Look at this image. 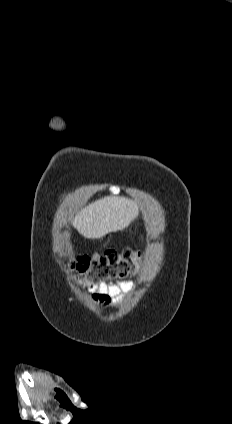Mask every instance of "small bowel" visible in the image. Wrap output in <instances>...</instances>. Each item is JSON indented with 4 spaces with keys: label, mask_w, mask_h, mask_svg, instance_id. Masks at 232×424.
Returning <instances> with one entry per match:
<instances>
[{
    "label": "small bowel",
    "mask_w": 232,
    "mask_h": 424,
    "mask_svg": "<svg viewBox=\"0 0 232 424\" xmlns=\"http://www.w3.org/2000/svg\"><path fill=\"white\" fill-rule=\"evenodd\" d=\"M134 284L130 281L116 283H98L88 287L91 292V300L96 303L102 311L117 306L125 294L132 291Z\"/></svg>",
    "instance_id": "1"
}]
</instances>
